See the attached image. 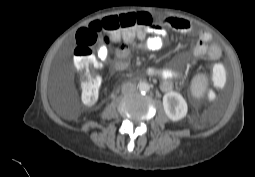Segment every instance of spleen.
I'll return each mask as SVG.
<instances>
[{"label":"spleen","instance_id":"spleen-1","mask_svg":"<svg viewBox=\"0 0 255 177\" xmlns=\"http://www.w3.org/2000/svg\"><path fill=\"white\" fill-rule=\"evenodd\" d=\"M207 80L205 76L199 75L193 79L192 93L195 97H200L205 91Z\"/></svg>","mask_w":255,"mask_h":177}]
</instances>
